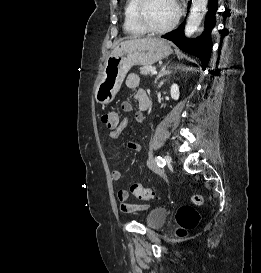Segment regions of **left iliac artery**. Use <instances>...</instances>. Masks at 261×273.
<instances>
[{
    "label": "left iliac artery",
    "mask_w": 261,
    "mask_h": 273,
    "mask_svg": "<svg viewBox=\"0 0 261 273\" xmlns=\"http://www.w3.org/2000/svg\"><path fill=\"white\" fill-rule=\"evenodd\" d=\"M155 161L159 167H164L166 164L165 160L160 156L155 157Z\"/></svg>",
    "instance_id": "44dca946"
}]
</instances>
